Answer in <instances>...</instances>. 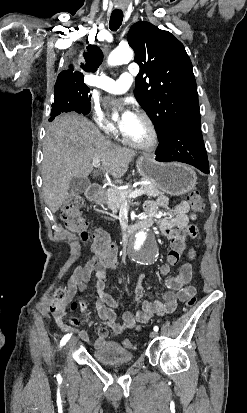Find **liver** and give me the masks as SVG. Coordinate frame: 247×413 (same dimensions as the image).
I'll list each match as a JSON object with an SVG mask.
<instances>
[{"instance_id":"liver-1","label":"liver","mask_w":247,"mask_h":413,"mask_svg":"<svg viewBox=\"0 0 247 413\" xmlns=\"http://www.w3.org/2000/svg\"><path fill=\"white\" fill-rule=\"evenodd\" d=\"M43 154V194L50 211L56 213L69 194L70 180L91 174L92 158H100L99 170L119 178L127 172L136 152L111 142L82 114L65 112L49 124Z\"/></svg>"}]
</instances>
